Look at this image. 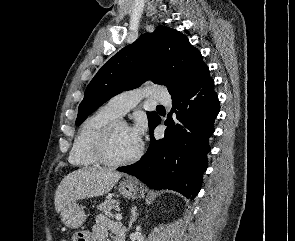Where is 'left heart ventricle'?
Instances as JSON below:
<instances>
[{"mask_svg": "<svg viewBox=\"0 0 295 241\" xmlns=\"http://www.w3.org/2000/svg\"><path fill=\"white\" fill-rule=\"evenodd\" d=\"M139 145L140 142L133 138L129 127L119 125L114 131L109 147V154L115 160L126 159L136 153Z\"/></svg>", "mask_w": 295, "mask_h": 241, "instance_id": "obj_1", "label": "left heart ventricle"}]
</instances>
